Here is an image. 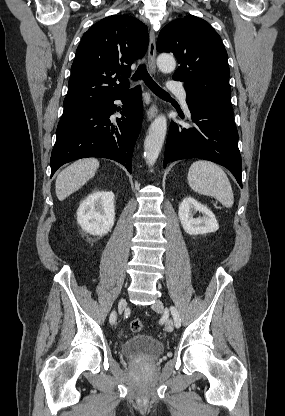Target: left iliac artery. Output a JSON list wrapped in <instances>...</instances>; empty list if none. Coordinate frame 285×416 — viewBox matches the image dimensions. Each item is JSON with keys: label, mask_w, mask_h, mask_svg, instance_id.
<instances>
[{"label": "left iliac artery", "mask_w": 285, "mask_h": 416, "mask_svg": "<svg viewBox=\"0 0 285 416\" xmlns=\"http://www.w3.org/2000/svg\"><path fill=\"white\" fill-rule=\"evenodd\" d=\"M170 311H171V314L173 316L175 326L177 328L180 327L181 326V319H180L177 308L174 307V306H171Z\"/></svg>", "instance_id": "1"}]
</instances>
